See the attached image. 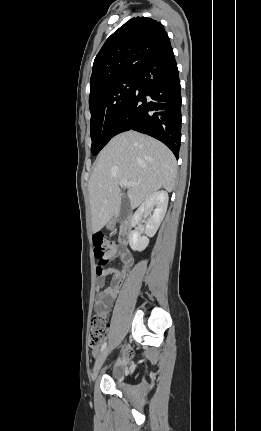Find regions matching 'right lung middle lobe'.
<instances>
[{
  "instance_id": "right-lung-middle-lobe-1",
  "label": "right lung middle lobe",
  "mask_w": 261,
  "mask_h": 431,
  "mask_svg": "<svg viewBox=\"0 0 261 431\" xmlns=\"http://www.w3.org/2000/svg\"><path fill=\"white\" fill-rule=\"evenodd\" d=\"M137 76H127L90 93L91 152L97 155L113 137L115 124L134 91Z\"/></svg>"
}]
</instances>
